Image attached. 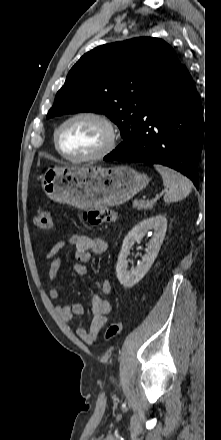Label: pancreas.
I'll return each mask as SVG.
<instances>
[{
	"label": "pancreas",
	"instance_id": "1",
	"mask_svg": "<svg viewBox=\"0 0 221 440\" xmlns=\"http://www.w3.org/2000/svg\"><path fill=\"white\" fill-rule=\"evenodd\" d=\"M155 202L153 201H141V200H134L133 201V207L137 208L138 210H152L154 208Z\"/></svg>",
	"mask_w": 221,
	"mask_h": 440
}]
</instances>
